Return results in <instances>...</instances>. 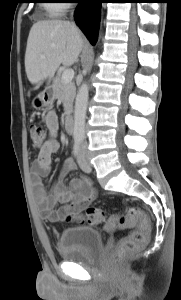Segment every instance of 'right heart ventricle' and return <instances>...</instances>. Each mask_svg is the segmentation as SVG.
<instances>
[{
    "label": "right heart ventricle",
    "instance_id": "obj_1",
    "mask_svg": "<svg viewBox=\"0 0 181 300\" xmlns=\"http://www.w3.org/2000/svg\"><path fill=\"white\" fill-rule=\"evenodd\" d=\"M45 6L48 14L53 17L61 15L64 11V7L59 3H49Z\"/></svg>",
    "mask_w": 181,
    "mask_h": 300
}]
</instances>
